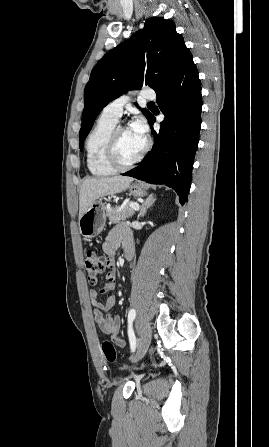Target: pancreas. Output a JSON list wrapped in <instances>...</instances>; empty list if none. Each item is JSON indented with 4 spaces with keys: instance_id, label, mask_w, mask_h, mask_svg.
I'll return each instance as SVG.
<instances>
[{
    "instance_id": "pancreas-1",
    "label": "pancreas",
    "mask_w": 269,
    "mask_h": 447,
    "mask_svg": "<svg viewBox=\"0 0 269 447\" xmlns=\"http://www.w3.org/2000/svg\"><path fill=\"white\" fill-rule=\"evenodd\" d=\"M130 202H128V204H126V206H124V208H122L121 212H117L119 206H116V208H111V210H108V208H105L107 214L106 216H108L110 222H112V224H118V222H120V220H125V218H130V216H133L134 214V210L133 208H130L129 206Z\"/></svg>"
}]
</instances>
